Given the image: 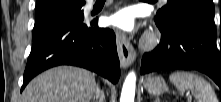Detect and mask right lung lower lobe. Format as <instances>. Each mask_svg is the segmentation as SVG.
Returning <instances> with one entry per match:
<instances>
[{
    "mask_svg": "<svg viewBox=\"0 0 221 102\" xmlns=\"http://www.w3.org/2000/svg\"><path fill=\"white\" fill-rule=\"evenodd\" d=\"M84 17L62 22L33 39L21 91L40 72L58 65H75L94 71L113 83L119 79L115 34L100 29L98 20Z\"/></svg>",
    "mask_w": 221,
    "mask_h": 102,
    "instance_id": "98d812e1",
    "label": "right lung lower lobe"
}]
</instances>
